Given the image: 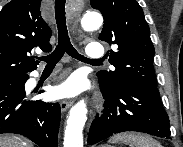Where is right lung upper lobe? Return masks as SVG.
I'll list each match as a JSON object with an SVG mask.
<instances>
[{
	"label": "right lung upper lobe",
	"instance_id": "1",
	"mask_svg": "<svg viewBox=\"0 0 183 147\" xmlns=\"http://www.w3.org/2000/svg\"><path fill=\"white\" fill-rule=\"evenodd\" d=\"M41 0H12L0 11V81L31 72L33 48L50 52L52 31L40 12Z\"/></svg>",
	"mask_w": 183,
	"mask_h": 147
}]
</instances>
